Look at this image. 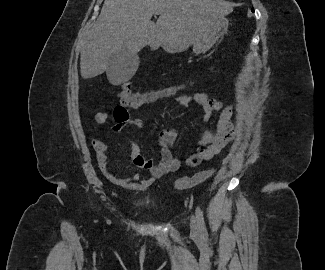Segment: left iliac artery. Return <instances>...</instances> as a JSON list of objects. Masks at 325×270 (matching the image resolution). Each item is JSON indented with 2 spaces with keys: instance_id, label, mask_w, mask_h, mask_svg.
I'll list each match as a JSON object with an SVG mask.
<instances>
[{
  "instance_id": "obj_1",
  "label": "left iliac artery",
  "mask_w": 325,
  "mask_h": 270,
  "mask_svg": "<svg viewBox=\"0 0 325 270\" xmlns=\"http://www.w3.org/2000/svg\"><path fill=\"white\" fill-rule=\"evenodd\" d=\"M196 218H197L198 227H199L202 237L207 238L208 233H207L206 225L204 222L203 212L200 207L196 208Z\"/></svg>"
}]
</instances>
